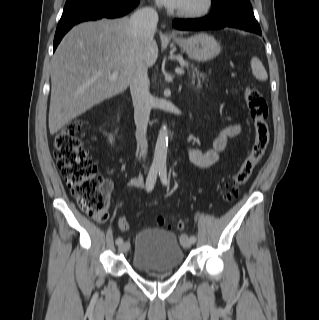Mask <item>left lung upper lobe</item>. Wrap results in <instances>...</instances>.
<instances>
[{
	"instance_id": "1",
	"label": "left lung upper lobe",
	"mask_w": 319,
	"mask_h": 320,
	"mask_svg": "<svg viewBox=\"0 0 319 320\" xmlns=\"http://www.w3.org/2000/svg\"><path fill=\"white\" fill-rule=\"evenodd\" d=\"M225 0H212L213 5L218 6L220 3L224 2Z\"/></svg>"
}]
</instances>
